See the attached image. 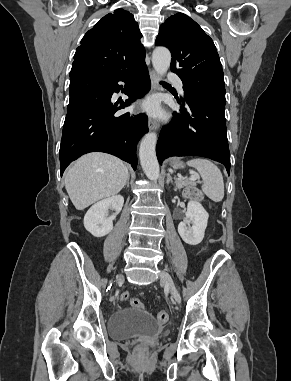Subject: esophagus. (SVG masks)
I'll list each match as a JSON object with an SVG mask.
<instances>
[{
  "label": "esophagus",
  "mask_w": 291,
  "mask_h": 381,
  "mask_svg": "<svg viewBox=\"0 0 291 381\" xmlns=\"http://www.w3.org/2000/svg\"><path fill=\"white\" fill-rule=\"evenodd\" d=\"M150 79H151L152 90L153 91L159 90L160 89L159 77L156 74V72L152 69L150 70ZM148 127L150 130H157L159 128V123L157 120L150 119L148 122Z\"/></svg>",
  "instance_id": "esophagus-1"
}]
</instances>
